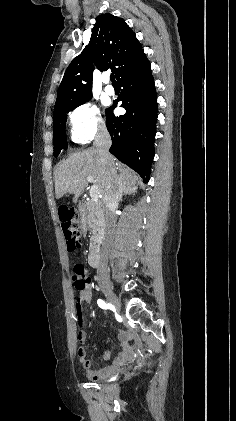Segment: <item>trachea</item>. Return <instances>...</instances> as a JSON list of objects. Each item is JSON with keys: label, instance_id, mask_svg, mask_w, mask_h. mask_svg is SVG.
I'll return each mask as SVG.
<instances>
[{"label": "trachea", "instance_id": "3493384b", "mask_svg": "<svg viewBox=\"0 0 236 421\" xmlns=\"http://www.w3.org/2000/svg\"><path fill=\"white\" fill-rule=\"evenodd\" d=\"M110 80L112 83H117L113 74L110 75Z\"/></svg>", "mask_w": 236, "mask_h": 421}]
</instances>
